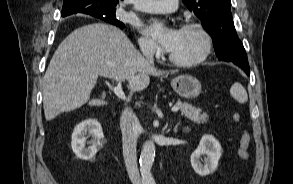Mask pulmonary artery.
I'll return each instance as SVG.
<instances>
[{"mask_svg":"<svg viewBox=\"0 0 293 184\" xmlns=\"http://www.w3.org/2000/svg\"><path fill=\"white\" fill-rule=\"evenodd\" d=\"M178 0H136L134 7L147 13H169L177 9Z\"/></svg>","mask_w":293,"mask_h":184,"instance_id":"1","label":"pulmonary artery"}]
</instances>
